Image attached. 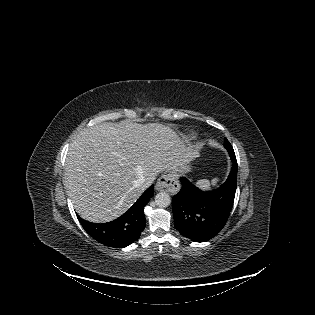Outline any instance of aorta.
I'll return each instance as SVG.
<instances>
[{
  "label": "aorta",
  "mask_w": 315,
  "mask_h": 315,
  "mask_svg": "<svg viewBox=\"0 0 315 315\" xmlns=\"http://www.w3.org/2000/svg\"><path fill=\"white\" fill-rule=\"evenodd\" d=\"M155 203L160 208H166L171 203V197L166 192H160L155 196Z\"/></svg>",
  "instance_id": "1"
}]
</instances>
